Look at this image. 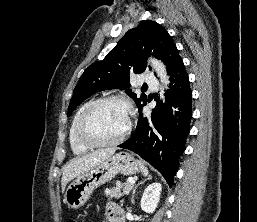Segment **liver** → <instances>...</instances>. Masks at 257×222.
Listing matches in <instances>:
<instances>
[{"label":"liver","instance_id":"6515ba94","mask_svg":"<svg viewBox=\"0 0 257 222\" xmlns=\"http://www.w3.org/2000/svg\"><path fill=\"white\" fill-rule=\"evenodd\" d=\"M115 151L116 148L101 149L69 161V163L63 169V176L61 179L62 192L65 190L66 185L71 180L89 171L97 164L111 157L115 153Z\"/></svg>","mask_w":257,"mask_h":222}]
</instances>
